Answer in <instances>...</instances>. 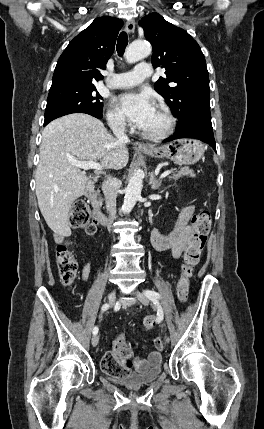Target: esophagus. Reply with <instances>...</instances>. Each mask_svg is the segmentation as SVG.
Returning <instances> with one entry per match:
<instances>
[{
  "label": "esophagus",
  "instance_id": "34e87169",
  "mask_svg": "<svg viewBox=\"0 0 264 429\" xmlns=\"http://www.w3.org/2000/svg\"><path fill=\"white\" fill-rule=\"evenodd\" d=\"M134 30H135V23H134V21L133 20L127 21V23H126V31L129 34H131V33L134 32ZM135 146L137 148H139V149H151L152 148V146H150L148 144L141 143V142H136Z\"/></svg>",
  "mask_w": 264,
  "mask_h": 429
}]
</instances>
